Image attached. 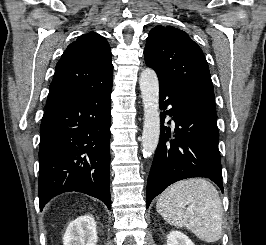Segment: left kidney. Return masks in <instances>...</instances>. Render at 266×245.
<instances>
[{"label": "left kidney", "instance_id": "obj_1", "mask_svg": "<svg viewBox=\"0 0 266 245\" xmlns=\"http://www.w3.org/2000/svg\"><path fill=\"white\" fill-rule=\"evenodd\" d=\"M167 245H194L189 237L180 231H170L167 235Z\"/></svg>", "mask_w": 266, "mask_h": 245}]
</instances>
